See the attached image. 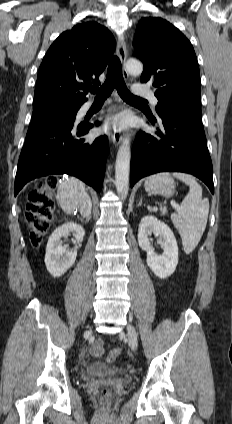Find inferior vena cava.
Returning a JSON list of instances; mask_svg holds the SVG:
<instances>
[{
  "instance_id": "inferior-vena-cava-1",
  "label": "inferior vena cava",
  "mask_w": 232,
  "mask_h": 424,
  "mask_svg": "<svg viewBox=\"0 0 232 424\" xmlns=\"http://www.w3.org/2000/svg\"><path fill=\"white\" fill-rule=\"evenodd\" d=\"M92 203L88 195L81 196L80 199V212L83 217H88L91 213Z\"/></svg>"
}]
</instances>
